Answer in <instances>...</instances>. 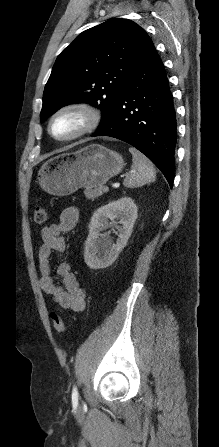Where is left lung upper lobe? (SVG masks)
I'll return each instance as SVG.
<instances>
[{
	"label": "left lung upper lobe",
	"mask_w": 219,
	"mask_h": 447,
	"mask_svg": "<svg viewBox=\"0 0 219 447\" xmlns=\"http://www.w3.org/2000/svg\"><path fill=\"white\" fill-rule=\"evenodd\" d=\"M151 39L136 23L115 18L82 32L58 56L43 93L41 120L65 105L90 103L108 117Z\"/></svg>",
	"instance_id": "obj_1"
}]
</instances>
